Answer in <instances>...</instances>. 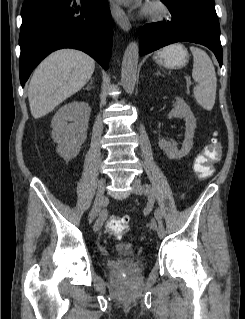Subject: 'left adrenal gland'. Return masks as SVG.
Here are the masks:
<instances>
[{"mask_svg":"<svg viewBox=\"0 0 245 319\" xmlns=\"http://www.w3.org/2000/svg\"><path fill=\"white\" fill-rule=\"evenodd\" d=\"M155 74H156V75H160V76H164L163 74H161L160 71H157Z\"/></svg>","mask_w":245,"mask_h":319,"instance_id":"1","label":"left adrenal gland"}]
</instances>
